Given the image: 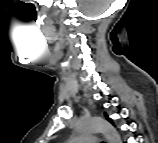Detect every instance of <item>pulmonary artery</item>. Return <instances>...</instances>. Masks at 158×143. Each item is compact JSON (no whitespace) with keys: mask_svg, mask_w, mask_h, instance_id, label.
Instances as JSON below:
<instances>
[{"mask_svg":"<svg viewBox=\"0 0 158 143\" xmlns=\"http://www.w3.org/2000/svg\"><path fill=\"white\" fill-rule=\"evenodd\" d=\"M80 139L85 140V141H90V140H93L94 138L93 137H81Z\"/></svg>","mask_w":158,"mask_h":143,"instance_id":"e3ab8cb5","label":"pulmonary artery"}]
</instances>
